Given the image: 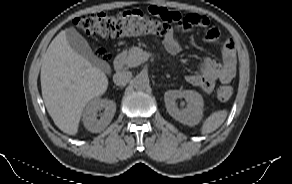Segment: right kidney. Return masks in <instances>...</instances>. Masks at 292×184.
Wrapping results in <instances>:
<instances>
[{
  "label": "right kidney",
  "mask_w": 292,
  "mask_h": 184,
  "mask_svg": "<svg viewBox=\"0 0 292 184\" xmlns=\"http://www.w3.org/2000/svg\"><path fill=\"white\" fill-rule=\"evenodd\" d=\"M104 109L100 119H97L98 111ZM116 112V103L107 99H92L83 111V124L85 128L93 133L104 130L111 122Z\"/></svg>",
  "instance_id": "right-kidney-1"
}]
</instances>
